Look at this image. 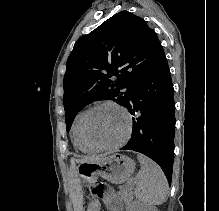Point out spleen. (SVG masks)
Wrapping results in <instances>:
<instances>
[{
  "mask_svg": "<svg viewBox=\"0 0 219 211\" xmlns=\"http://www.w3.org/2000/svg\"><path fill=\"white\" fill-rule=\"evenodd\" d=\"M137 157L141 163V169L135 177L137 183L135 195L146 205H160L166 199L167 179L155 161L142 153H138Z\"/></svg>",
  "mask_w": 219,
  "mask_h": 211,
  "instance_id": "obj_1",
  "label": "spleen"
}]
</instances>
